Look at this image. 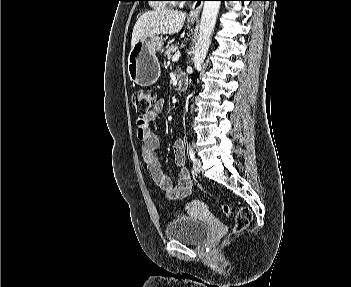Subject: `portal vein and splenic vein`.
Listing matches in <instances>:
<instances>
[{"mask_svg": "<svg viewBox=\"0 0 351 287\" xmlns=\"http://www.w3.org/2000/svg\"><path fill=\"white\" fill-rule=\"evenodd\" d=\"M180 55H181L180 52L175 53L174 56L172 57V61H173V62L178 61Z\"/></svg>", "mask_w": 351, "mask_h": 287, "instance_id": "1", "label": "portal vein and splenic vein"}]
</instances>
